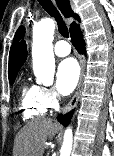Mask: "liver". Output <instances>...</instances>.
<instances>
[{"mask_svg": "<svg viewBox=\"0 0 114 156\" xmlns=\"http://www.w3.org/2000/svg\"><path fill=\"white\" fill-rule=\"evenodd\" d=\"M61 126L52 119H34L16 135L13 156H42L45 142L54 137Z\"/></svg>", "mask_w": 114, "mask_h": 156, "instance_id": "liver-1", "label": "liver"}]
</instances>
